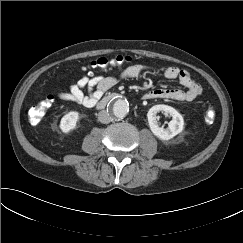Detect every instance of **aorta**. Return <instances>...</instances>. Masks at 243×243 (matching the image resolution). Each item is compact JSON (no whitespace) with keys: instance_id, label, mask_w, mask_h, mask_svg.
<instances>
[{"instance_id":"762f6f07","label":"aorta","mask_w":243,"mask_h":243,"mask_svg":"<svg viewBox=\"0 0 243 243\" xmlns=\"http://www.w3.org/2000/svg\"><path fill=\"white\" fill-rule=\"evenodd\" d=\"M129 112V103L124 99H117L112 105V114L119 119H123Z\"/></svg>"}]
</instances>
